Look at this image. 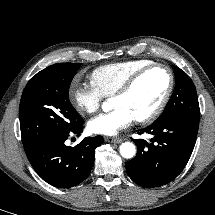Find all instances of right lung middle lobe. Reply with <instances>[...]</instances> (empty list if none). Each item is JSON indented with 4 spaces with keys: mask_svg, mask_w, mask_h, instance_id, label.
I'll return each instance as SVG.
<instances>
[{
    "mask_svg": "<svg viewBox=\"0 0 215 215\" xmlns=\"http://www.w3.org/2000/svg\"><path fill=\"white\" fill-rule=\"evenodd\" d=\"M80 63H59L38 72L20 101V129L25 152L59 136L82 120L69 101V87Z\"/></svg>",
    "mask_w": 215,
    "mask_h": 215,
    "instance_id": "obj_1",
    "label": "right lung middle lobe"
}]
</instances>
